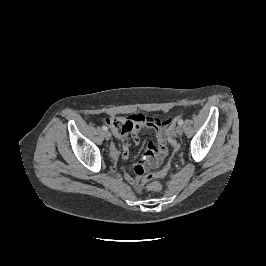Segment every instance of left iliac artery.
<instances>
[{"label":"left iliac artery","mask_w":266,"mask_h":266,"mask_svg":"<svg viewBox=\"0 0 266 266\" xmlns=\"http://www.w3.org/2000/svg\"><path fill=\"white\" fill-rule=\"evenodd\" d=\"M178 124H179V125H182V124H183V120L180 119V120L178 121Z\"/></svg>","instance_id":"left-iliac-artery-1"}]
</instances>
